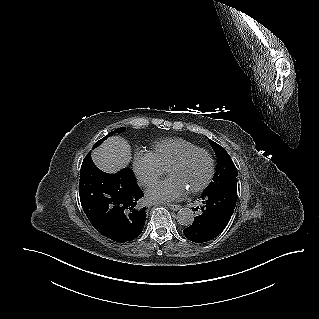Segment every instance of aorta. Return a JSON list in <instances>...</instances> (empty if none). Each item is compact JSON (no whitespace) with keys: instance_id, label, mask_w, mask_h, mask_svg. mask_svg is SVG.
<instances>
[{"instance_id":"762f6f07","label":"aorta","mask_w":319,"mask_h":319,"mask_svg":"<svg viewBox=\"0 0 319 319\" xmlns=\"http://www.w3.org/2000/svg\"><path fill=\"white\" fill-rule=\"evenodd\" d=\"M194 212L190 208H182L177 214V221L183 226H190L194 221Z\"/></svg>"}]
</instances>
